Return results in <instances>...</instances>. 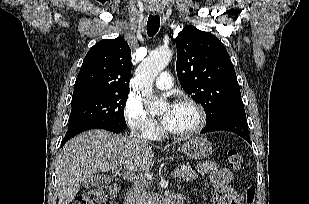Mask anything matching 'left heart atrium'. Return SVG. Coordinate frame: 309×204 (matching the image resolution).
Returning <instances> with one entry per match:
<instances>
[{"label":"left heart atrium","mask_w":309,"mask_h":204,"mask_svg":"<svg viewBox=\"0 0 309 204\" xmlns=\"http://www.w3.org/2000/svg\"><path fill=\"white\" fill-rule=\"evenodd\" d=\"M171 107H172V106H171ZM169 113H170V112H168L167 114H165V115L162 117V122H163L164 126H166L167 123H168Z\"/></svg>","instance_id":"obj_1"}]
</instances>
